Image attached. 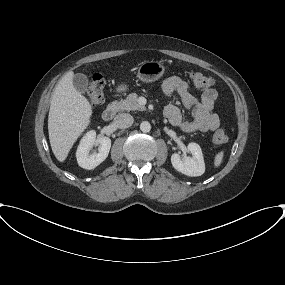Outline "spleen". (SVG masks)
<instances>
[{"instance_id": "obj_1", "label": "spleen", "mask_w": 285, "mask_h": 285, "mask_svg": "<svg viewBox=\"0 0 285 285\" xmlns=\"http://www.w3.org/2000/svg\"><path fill=\"white\" fill-rule=\"evenodd\" d=\"M224 151L218 152L214 157V167H219L223 161Z\"/></svg>"}]
</instances>
